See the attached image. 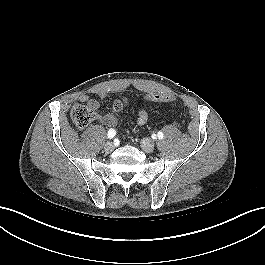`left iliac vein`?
<instances>
[{"label": "left iliac vein", "mask_w": 265, "mask_h": 265, "mask_svg": "<svg viewBox=\"0 0 265 265\" xmlns=\"http://www.w3.org/2000/svg\"><path fill=\"white\" fill-rule=\"evenodd\" d=\"M141 147L145 152L151 153L155 148V143L148 138H144L141 141Z\"/></svg>", "instance_id": "1"}]
</instances>
